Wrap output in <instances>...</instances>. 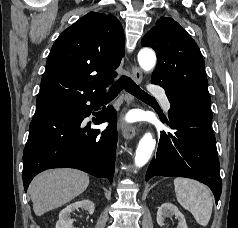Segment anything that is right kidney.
Masks as SVG:
<instances>
[{"label":"right kidney","mask_w":238,"mask_h":228,"mask_svg":"<svg viewBox=\"0 0 238 228\" xmlns=\"http://www.w3.org/2000/svg\"><path fill=\"white\" fill-rule=\"evenodd\" d=\"M84 209L90 215L94 213V203L88 199L77 201L68 205L59 213V220L56 223V228H74L73 219H71V213L77 209Z\"/></svg>","instance_id":"ca27d5eb"}]
</instances>
